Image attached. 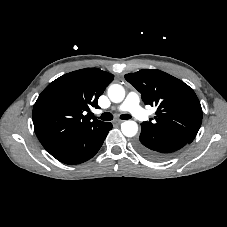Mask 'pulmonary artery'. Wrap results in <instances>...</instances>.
I'll return each mask as SVG.
<instances>
[{
	"label": "pulmonary artery",
	"mask_w": 227,
	"mask_h": 227,
	"mask_svg": "<svg viewBox=\"0 0 227 227\" xmlns=\"http://www.w3.org/2000/svg\"><path fill=\"white\" fill-rule=\"evenodd\" d=\"M139 102V95L136 92H129L124 102L116 110L130 112L136 119L146 121L148 114L141 108Z\"/></svg>",
	"instance_id": "1"
}]
</instances>
